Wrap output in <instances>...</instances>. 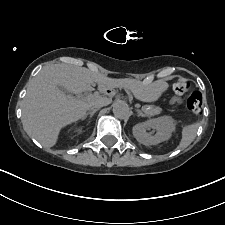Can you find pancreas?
<instances>
[{
	"label": "pancreas",
	"instance_id": "obj_1",
	"mask_svg": "<svg viewBox=\"0 0 225 225\" xmlns=\"http://www.w3.org/2000/svg\"><path fill=\"white\" fill-rule=\"evenodd\" d=\"M162 109L157 106H147L144 109V113L146 116H154L160 114Z\"/></svg>",
	"mask_w": 225,
	"mask_h": 225
}]
</instances>
